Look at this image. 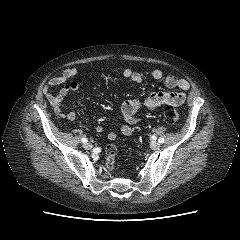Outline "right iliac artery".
I'll use <instances>...</instances> for the list:
<instances>
[{
    "mask_svg": "<svg viewBox=\"0 0 240 240\" xmlns=\"http://www.w3.org/2000/svg\"><path fill=\"white\" fill-rule=\"evenodd\" d=\"M81 140L83 143H87V141H88L87 138H85V137H83Z\"/></svg>",
    "mask_w": 240,
    "mask_h": 240,
    "instance_id": "right-iliac-artery-1",
    "label": "right iliac artery"
}]
</instances>
